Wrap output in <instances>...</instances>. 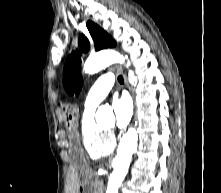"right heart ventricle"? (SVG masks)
Here are the masks:
<instances>
[{"label": "right heart ventricle", "mask_w": 221, "mask_h": 193, "mask_svg": "<svg viewBox=\"0 0 221 193\" xmlns=\"http://www.w3.org/2000/svg\"><path fill=\"white\" fill-rule=\"evenodd\" d=\"M80 134L82 145L90 158L98 159L112 153L115 142L104 126L94 120L93 109L84 110L80 123Z\"/></svg>", "instance_id": "obj_1"}]
</instances>
